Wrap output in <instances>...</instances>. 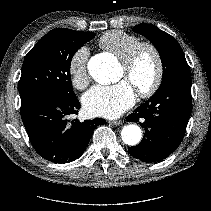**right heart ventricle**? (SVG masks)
Listing matches in <instances>:
<instances>
[{"mask_svg":"<svg viewBox=\"0 0 211 211\" xmlns=\"http://www.w3.org/2000/svg\"><path fill=\"white\" fill-rule=\"evenodd\" d=\"M138 42H140V39L136 35L121 30H112L103 34L98 44L101 48L122 60Z\"/></svg>","mask_w":211,"mask_h":211,"instance_id":"right-heart-ventricle-1","label":"right heart ventricle"}]
</instances>
